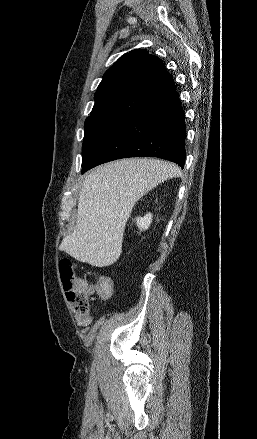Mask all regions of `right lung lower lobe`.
Instances as JSON below:
<instances>
[{
  "mask_svg": "<svg viewBox=\"0 0 257 439\" xmlns=\"http://www.w3.org/2000/svg\"><path fill=\"white\" fill-rule=\"evenodd\" d=\"M184 113L174 90L124 120L83 166L81 173L115 159L158 157L185 164Z\"/></svg>",
  "mask_w": 257,
  "mask_h": 439,
  "instance_id": "right-lung-lower-lobe-1",
  "label": "right lung lower lobe"
}]
</instances>
